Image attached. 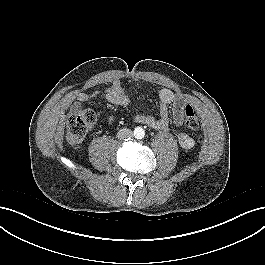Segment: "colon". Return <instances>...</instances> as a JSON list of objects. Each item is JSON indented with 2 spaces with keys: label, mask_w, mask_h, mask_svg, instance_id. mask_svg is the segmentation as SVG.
Returning a JSON list of instances; mask_svg holds the SVG:
<instances>
[{
  "label": "colon",
  "mask_w": 265,
  "mask_h": 265,
  "mask_svg": "<svg viewBox=\"0 0 265 265\" xmlns=\"http://www.w3.org/2000/svg\"><path fill=\"white\" fill-rule=\"evenodd\" d=\"M185 126L195 131L199 128L198 116L191 105L184 108ZM96 114L90 109H82L67 120V141L74 146L80 145L86 134L95 126Z\"/></svg>",
  "instance_id": "1"
}]
</instances>
